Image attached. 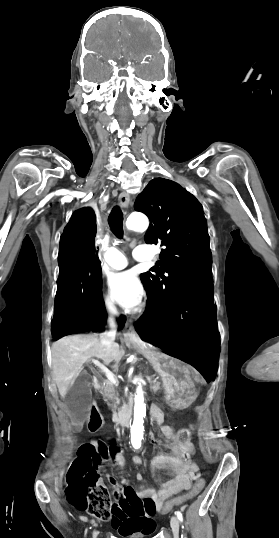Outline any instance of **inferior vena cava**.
<instances>
[{
  "mask_svg": "<svg viewBox=\"0 0 279 538\" xmlns=\"http://www.w3.org/2000/svg\"><path fill=\"white\" fill-rule=\"evenodd\" d=\"M113 313H116V310H111ZM111 323H110V326L112 328L111 331L109 332H105V333H102L101 334V342H102V346L105 345L107 346V349L109 350V348L111 347V341L113 338H115V334H116V330L114 329L115 328V324L112 320H110ZM114 346H116L114 344ZM112 350V349H111Z\"/></svg>",
  "mask_w": 279,
  "mask_h": 538,
  "instance_id": "obj_1",
  "label": "inferior vena cava"
}]
</instances>
